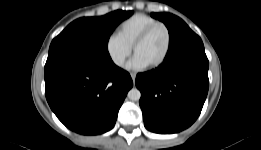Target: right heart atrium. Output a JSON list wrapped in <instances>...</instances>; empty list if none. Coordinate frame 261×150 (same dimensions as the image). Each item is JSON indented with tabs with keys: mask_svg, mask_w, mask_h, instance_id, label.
<instances>
[{
	"mask_svg": "<svg viewBox=\"0 0 261 150\" xmlns=\"http://www.w3.org/2000/svg\"><path fill=\"white\" fill-rule=\"evenodd\" d=\"M105 50L112 64L121 68L130 56L132 48L124 43L116 34H111L106 39Z\"/></svg>",
	"mask_w": 261,
	"mask_h": 150,
	"instance_id": "d8ad5b80",
	"label": "right heart atrium"
}]
</instances>
